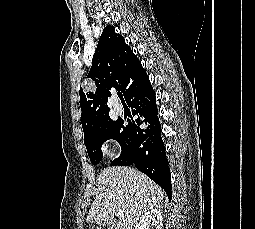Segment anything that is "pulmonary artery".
Here are the masks:
<instances>
[{
	"label": "pulmonary artery",
	"instance_id": "1",
	"mask_svg": "<svg viewBox=\"0 0 255 229\" xmlns=\"http://www.w3.org/2000/svg\"><path fill=\"white\" fill-rule=\"evenodd\" d=\"M114 110H115V112H116L117 114H119V115L123 114V108H122L121 105L115 104V105H114Z\"/></svg>",
	"mask_w": 255,
	"mask_h": 229
}]
</instances>
